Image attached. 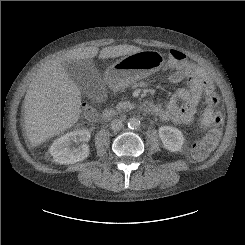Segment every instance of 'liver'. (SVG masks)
<instances>
[{
  "instance_id": "1",
  "label": "liver",
  "mask_w": 245,
  "mask_h": 245,
  "mask_svg": "<svg viewBox=\"0 0 245 245\" xmlns=\"http://www.w3.org/2000/svg\"><path fill=\"white\" fill-rule=\"evenodd\" d=\"M142 51L133 45L108 46L99 57L116 58ZM98 47L71 50L47 62L32 79L24 99V127L32 146H38L72 127L80 117L81 93L65 63L97 56Z\"/></svg>"
}]
</instances>
